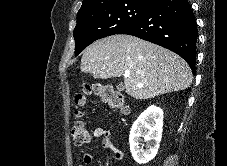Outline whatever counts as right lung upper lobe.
Instances as JSON below:
<instances>
[{
  "mask_svg": "<svg viewBox=\"0 0 227 166\" xmlns=\"http://www.w3.org/2000/svg\"><path fill=\"white\" fill-rule=\"evenodd\" d=\"M158 0H83L78 14L95 11L112 5L141 3L152 6Z\"/></svg>",
  "mask_w": 227,
  "mask_h": 166,
  "instance_id": "1",
  "label": "right lung upper lobe"
}]
</instances>
